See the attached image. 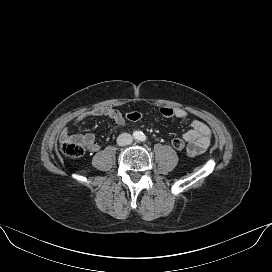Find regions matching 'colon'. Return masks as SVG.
<instances>
[{
	"label": "colon",
	"instance_id": "obj_1",
	"mask_svg": "<svg viewBox=\"0 0 272 272\" xmlns=\"http://www.w3.org/2000/svg\"><path fill=\"white\" fill-rule=\"evenodd\" d=\"M160 113L165 118H173L175 116V111L171 107H161ZM144 117L143 113L140 111H130L126 114V119L130 122H138ZM172 146L178 150L182 151L186 147L185 142L180 138H175L172 141ZM61 151L64 155L72 158H78L83 155L84 147L75 141H67L62 143Z\"/></svg>",
	"mask_w": 272,
	"mask_h": 272
}]
</instances>
